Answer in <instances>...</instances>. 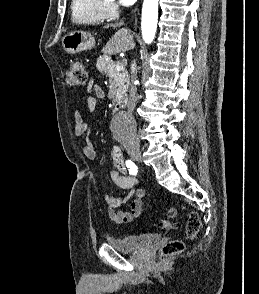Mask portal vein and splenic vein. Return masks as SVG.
Instances as JSON below:
<instances>
[{
	"label": "portal vein and splenic vein",
	"mask_w": 259,
	"mask_h": 294,
	"mask_svg": "<svg viewBox=\"0 0 259 294\" xmlns=\"http://www.w3.org/2000/svg\"><path fill=\"white\" fill-rule=\"evenodd\" d=\"M124 68L123 63L122 62H118L115 66V69L117 71H121Z\"/></svg>",
	"instance_id": "1"
}]
</instances>
